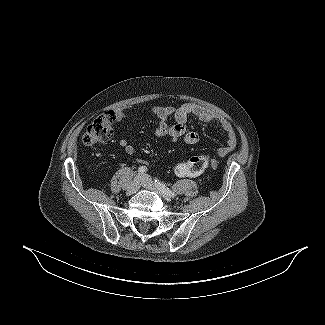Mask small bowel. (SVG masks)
<instances>
[{
  "label": "small bowel",
  "instance_id": "1",
  "mask_svg": "<svg viewBox=\"0 0 325 325\" xmlns=\"http://www.w3.org/2000/svg\"><path fill=\"white\" fill-rule=\"evenodd\" d=\"M127 107L118 108L113 112L116 121H121L128 117ZM152 113L158 118L159 123L155 130L157 137H169L172 141L181 140L185 144L194 145L200 141V136L195 131H190L187 127V120L190 116H195L205 123L219 121L222 129L226 133V146L218 149V154L224 156L230 153L237 145V137L232 125L226 120H220L209 109L192 103H186L178 107L155 106L151 108ZM173 118L175 124L169 125L168 121ZM120 147L129 155L135 153V148L126 139L119 141ZM188 161V160H187ZM140 164H145L142 159H137ZM212 168L216 167L215 161H210ZM196 176V175H194ZM191 177V176H190Z\"/></svg>",
  "mask_w": 325,
  "mask_h": 325
}]
</instances>
